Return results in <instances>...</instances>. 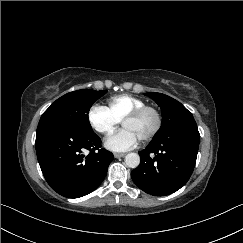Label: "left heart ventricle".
Returning a JSON list of instances; mask_svg holds the SVG:
<instances>
[{
    "label": "left heart ventricle",
    "instance_id": "left-heart-ventricle-1",
    "mask_svg": "<svg viewBox=\"0 0 243 243\" xmlns=\"http://www.w3.org/2000/svg\"><path fill=\"white\" fill-rule=\"evenodd\" d=\"M155 125V117L152 113H146L135 120H128L123 123V127L130 129L138 138L143 139Z\"/></svg>",
    "mask_w": 243,
    "mask_h": 243
}]
</instances>
